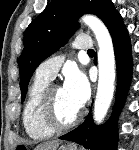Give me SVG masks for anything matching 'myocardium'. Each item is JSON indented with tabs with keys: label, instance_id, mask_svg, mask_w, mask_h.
Wrapping results in <instances>:
<instances>
[{
	"label": "myocardium",
	"instance_id": "1",
	"mask_svg": "<svg viewBox=\"0 0 139 150\" xmlns=\"http://www.w3.org/2000/svg\"><path fill=\"white\" fill-rule=\"evenodd\" d=\"M58 88H60V86L56 84L49 85L46 88L39 109L42 123L52 131H63L74 127L79 123L83 115L82 111L79 110L76 116L67 123H62L56 118L54 112V93Z\"/></svg>",
	"mask_w": 139,
	"mask_h": 150
}]
</instances>
